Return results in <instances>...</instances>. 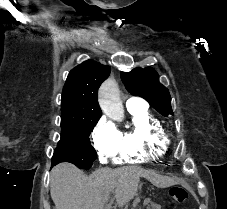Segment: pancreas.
I'll use <instances>...</instances> for the list:
<instances>
[{
	"label": "pancreas",
	"mask_w": 227,
	"mask_h": 209,
	"mask_svg": "<svg viewBox=\"0 0 227 209\" xmlns=\"http://www.w3.org/2000/svg\"><path fill=\"white\" fill-rule=\"evenodd\" d=\"M150 209H156V207L155 206H152Z\"/></svg>",
	"instance_id": "1"
}]
</instances>
